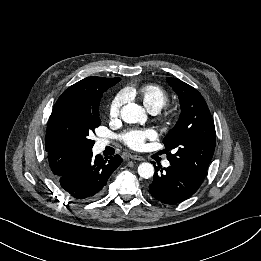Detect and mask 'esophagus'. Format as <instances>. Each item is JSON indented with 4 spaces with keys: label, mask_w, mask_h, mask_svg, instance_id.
<instances>
[{
    "label": "esophagus",
    "mask_w": 261,
    "mask_h": 261,
    "mask_svg": "<svg viewBox=\"0 0 261 261\" xmlns=\"http://www.w3.org/2000/svg\"><path fill=\"white\" fill-rule=\"evenodd\" d=\"M130 158L133 160L144 161V158L139 155H130Z\"/></svg>",
    "instance_id": "1"
}]
</instances>
